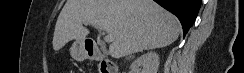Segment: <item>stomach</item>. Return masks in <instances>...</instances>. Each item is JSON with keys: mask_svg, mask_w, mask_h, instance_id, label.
<instances>
[{"mask_svg": "<svg viewBox=\"0 0 244 73\" xmlns=\"http://www.w3.org/2000/svg\"><path fill=\"white\" fill-rule=\"evenodd\" d=\"M70 52L71 56L77 61H82L88 57L84 41H75L70 48Z\"/></svg>", "mask_w": 244, "mask_h": 73, "instance_id": "stomach-1", "label": "stomach"}]
</instances>
